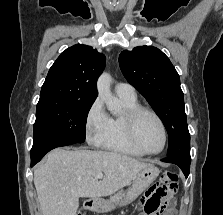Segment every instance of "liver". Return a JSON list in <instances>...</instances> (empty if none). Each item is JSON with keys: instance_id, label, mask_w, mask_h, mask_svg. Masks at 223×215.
<instances>
[{"instance_id": "liver-1", "label": "liver", "mask_w": 223, "mask_h": 215, "mask_svg": "<svg viewBox=\"0 0 223 215\" xmlns=\"http://www.w3.org/2000/svg\"><path fill=\"white\" fill-rule=\"evenodd\" d=\"M149 163L114 151L52 149L36 167L34 183L44 215H77L79 197L111 195L130 185ZM96 173H104L95 177Z\"/></svg>"}]
</instances>
